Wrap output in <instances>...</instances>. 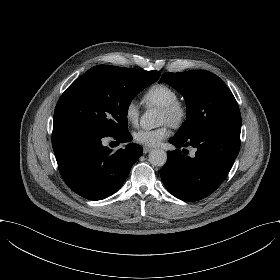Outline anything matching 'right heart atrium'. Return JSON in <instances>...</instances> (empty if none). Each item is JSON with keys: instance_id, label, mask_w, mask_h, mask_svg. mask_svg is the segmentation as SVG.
I'll list each match as a JSON object with an SVG mask.
<instances>
[{"instance_id": "right-heart-atrium-1", "label": "right heart atrium", "mask_w": 280, "mask_h": 280, "mask_svg": "<svg viewBox=\"0 0 280 280\" xmlns=\"http://www.w3.org/2000/svg\"><path fill=\"white\" fill-rule=\"evenodd\" d=\"M124 116L129 123L135 124L138 121L139 108L135 100H130L126 103Z\"/></svg>"}]
</instances>
